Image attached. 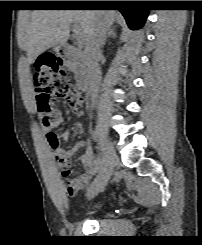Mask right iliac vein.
I'll return each instance as SVG.
<instances>
[{
    "label": "right iliac vein",
    "mask_w": 202,
    "mask_h": 245,
    "mask_svg": "<svg viewBox=\"0 0 202 245\" xmlns=\"http://www.w3.org/2000/svg\"><path fill=\"white\" fill-rule=\"evenodd\" d=\"M102 142L104 145L105 158L98 176L88 189L89 197L94 196L103 190L113 173L114 164L117 161V156L115 155L114 149L108 139L106 137H102Z\"/></svg>",
    "instance_id": "obj_1"
}]
</instances>
